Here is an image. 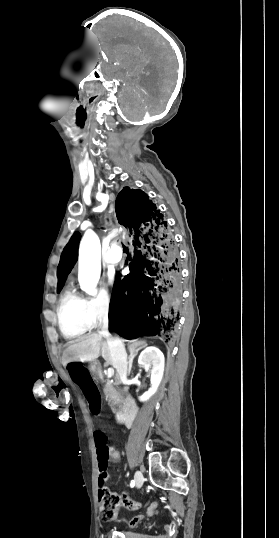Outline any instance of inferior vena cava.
I'll use <instances>...</instances> for the list:
<instances>
[{
  "instance_id": "inferior-vena-cava-1",
  "label": "inferior vena cava",
  "mask_w": 279,
  "mask_h": 538,
  "mask_svg": "<svg viewBox=\"0 0 279 538\" xmlns=\"http://www.w3.org/2000/svg\"><path fill=\"white\" fill-rule=\"evenodd\" d=\"M98 319L100 321V332L104 334V338H106L107 340L108 349L110 350V354L112 356V365L114 368L117 369V372L120 375V382H123L124 384H129L126 378V374L127 364L130 363V361L127 362V353L125 352L124 344L122 343L124 341L122 339H119L120 335H111L108 332V310H102Z\"/></svg>"
}]
</instances>
